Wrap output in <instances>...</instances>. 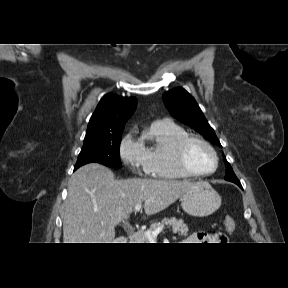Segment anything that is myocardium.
I'll return each instance as SVG.
<instances>
[{"mask_svg":"<svg viewBox=\"0 0 288 288\" xmlns=\"http://www.w3.org/2000/svg\"><path fill=\"white\" fill-rule=\"evenodd\" d=\"M192 143H199L205 146L215 159V166L210 172H199L190 167L187 162V150ZM174 158L178 168L191 177H208L216 173L219 167V156L215 148L205 139L196 135H186L179 139L174 147Z\"/></svg>","mask_w":288,"mask_h":288,"instance_id":"myocardium-1","label":"myocardium"}]
</instances>
